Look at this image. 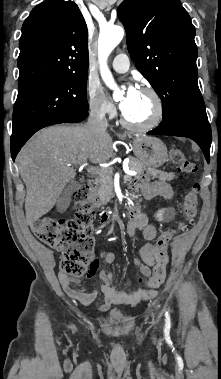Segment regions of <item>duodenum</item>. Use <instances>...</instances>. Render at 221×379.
<instances>
[{
  "instance_id": "1",
  "label": "duodenum",
  "mask_w": 221,
  "mask_h": 379,
  "mask_svg": "<svg viewBox=\"0 0 221 379\" xmlns=\"http://www.w3.org/2000/svg\"><path fill=\"white\" fill-rule=\"evenodd\" d=\"M83 188L90 191L91 189V182L90 180H85L84 183H83ZM137 205L133 206L130 210V214H134L137 212ZM110 218V214L109 212H104L101 216H100V220L102 222H105L107 221L108 219Z\"/></svg>"
}]
</instances>
